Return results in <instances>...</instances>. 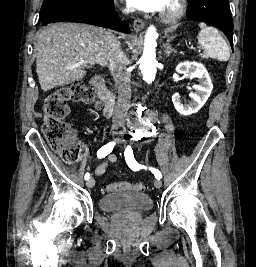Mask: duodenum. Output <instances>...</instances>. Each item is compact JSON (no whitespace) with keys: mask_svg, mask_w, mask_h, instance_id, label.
I'll return each mask as SVG.
<instances>
[{"mask_svg":"<svg viewBox=\"0 0 256 267\" xmlns=\"http://www.w3.org/2000/svg\"><path fill=\"white\" fill-rule=\"evenodd\" d=\"M93 86L100 98V100L104 104L103 115L107 118H110L113 114L114 109V96L108 90L106 81L103 77L96 76L93 78Z\"/></svg>","mask_w":256,"mask_h":267,"instance_id":"1","label":"duodenum"}]
</instances>
